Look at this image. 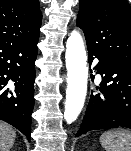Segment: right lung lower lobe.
Instances as JSON below:
<instances>
[{"label": "right lung lower lobe", "mask_w": 131, "mask_h": 151, "mask_svg": "<svg viewBox=\"0 0 131 151\" xmlns=\"http://www.w3.org/2000/svg\"><path fill=\"white\" fill-rule=\"evenodd\" d=\"M38 39L0 44V119L17 128L28 141L34 107Z\"/></svg>", "instance_id": "98d812e1"}]
</instances>
